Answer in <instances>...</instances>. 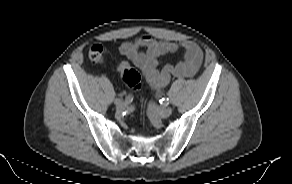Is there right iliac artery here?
<instances>
[{"label":"right iliac artery","mask_w":292,"mask_h":184,"mask_svg":"<svg viewBox=\"0 0 292 184\" xmlns=\"http://www.w3.org/2000/svg\"><path fill=\"white\" fill-rule=\"evenodd\" d=\"M124 101H126L127 103H129V102H133V98H132L131 95H128V96L124 99Z\"/></svg>","instance_id":"right-iliac-artery-1"}]
</instances>
